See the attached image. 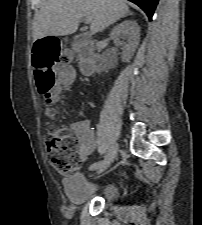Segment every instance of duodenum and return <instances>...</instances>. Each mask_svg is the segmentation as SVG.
<instances>
[{
	"mask_svg": "<svg viewBox=\"0 0 202 225\" xmlns=\"http://www.w3.org/2000/svg\"><path fill=\"white\" fill-rule=\"evenodd\" d=\"M80 72L86 76H91L96 71V51L95 44L91 41L83 40L77 47Z\"/></svg>",
	"mask_w": 202,
	"mask_h": 225,
	"instance_id": "1",
	"label": "duodenum"
}]
</instances>
